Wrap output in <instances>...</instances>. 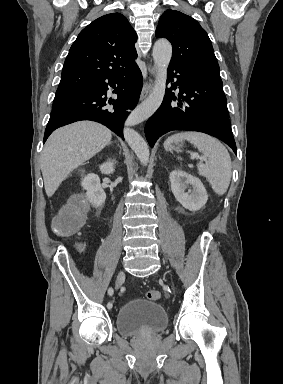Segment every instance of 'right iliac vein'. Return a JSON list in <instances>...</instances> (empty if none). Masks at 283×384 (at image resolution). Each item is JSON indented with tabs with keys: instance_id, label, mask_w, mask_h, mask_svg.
<instances>
[{
	"instance_id": "63e3f726",
	"label": "right iliac vein",
	"mask_w": 283,
	"mask_h": 384,
	"mask_svg": "<svg viewBox=\"0 0 283 384\" xmlns=\"http://www.w3.org/2000/svg\"><path fill=\"white\" fill-rule=\"evenodd\" d=\"M125 279L124 271H120L116 278L115 289L118 290Z\"/></svg>"
}]
</instances>
